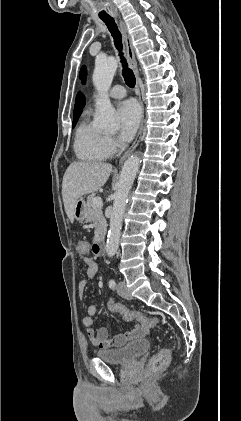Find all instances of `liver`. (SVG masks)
<instances>
[{"mask_svg":"<svg viewBox=\"0 0 241 421\" xmlns=\"http://www.w3.org/2000/svg\"><path fill=\"white\" fill-rule=\"evenodd\" d=\"M112 165L102 162H73L65 171L62 198L65 212L71 223L77 200L83 195L98 191L108 180Z\"/></svg>","mask_w":241,"mask_h":421,"instance_id":"6515ba94","label":"liver"}]
</instances>
